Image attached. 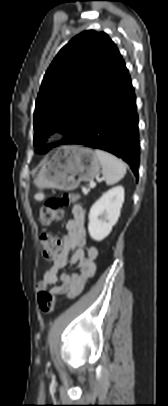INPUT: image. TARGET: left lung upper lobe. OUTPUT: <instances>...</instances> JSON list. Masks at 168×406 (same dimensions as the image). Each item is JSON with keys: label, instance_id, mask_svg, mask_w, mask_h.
Listing matches in <instances>:
<instances>
[{"label": "left lung upper lobe", "instance_id": "1", "mask_svg": "<svg viewBox=\"0 0 168 406\" xmlns=\"http://www.w3.org/2000/svg\"><path fill=\"white\" fill-rule=\"evenodd\" d=\"M122 57L104 32L75 36L57 54L44 76L34 113V145L46 153L83 127L95 102L112 79ZM65 135L60 143L42 146L48 135Z\"/></svg>", "mask_w": 168, "mask_h": 406}]
</instances>
